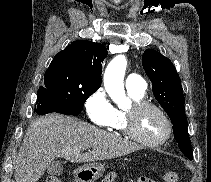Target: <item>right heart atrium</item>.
Here are the masks:
<instances>
[{
	"label": "right heart atrium",
	"mask_w": 211,
	"mask_h": 182,
	"mask_svg": "<svg viewBox=\"0 0 211 182\" xmlns=\"http://www.w3.org/2000/svg\"><path fill=\"white\" fill-rule=\"evenodd\" d=\"M84 107L89 120L98 126H106L114 113V107L102 87L86 98Z\"/></svg>",
	"instance_id": "1"
}]
</instances>
